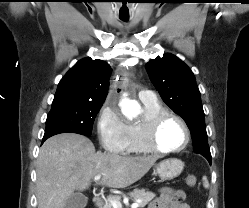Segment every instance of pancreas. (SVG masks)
Here are the masks:
<instances>
[{"mask_svg": "<svg viewBox=\"0 0 249 208\" xmlns=\"http://www.w3.org/2000/svg\"><path fill=\"white\" fill-rule=\"evenodd\" d=\"M129 195L130 197L134 199L140 200L139 202L140 208H144L155 197L154 193L150 191H146L145 189H141V190L136 189L133 192H131ZM113 199L120 201L119 196L114 197ZM101 208H113V207L110 201H107L104 203V205Z\"/></svg>", "mask_w": 249, "mask_h": 208, "instance_id": "obj_1", "label": "pancreas"}]
</instances>
